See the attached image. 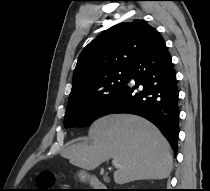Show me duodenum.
Masks as SVG:
<instances>
[{
    "label": "duodenum",
    "instance_id": "1",
    "mask_svg": "<svg viewBox=\"0 0 210 191\" xmlns=\"http://www.w3.org/2000/svg\"><path fill=\"white\" fill-rule=\"evenodd\" d=\"M83 177H85V176L83 175ZM89 180L92 183L95 191H115V190H111L110 188H107L105 184H101L96 179H89Z\"/></svg>",
    "mask_w": 210,
    "mask_h": 191
}]
</instances>
